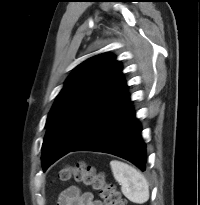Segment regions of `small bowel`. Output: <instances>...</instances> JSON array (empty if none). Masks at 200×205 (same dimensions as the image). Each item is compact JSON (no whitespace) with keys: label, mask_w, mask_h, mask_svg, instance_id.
<instances>
[{"label":"small bowel","mask_w":200,"mask_h":205,"mask_svg":"<svg viewBox=\"0 0 200 205\" xmlns=\"http://www.w3.org/2000/svg\"><path fill=\"white\" fill-rule=\"evenodd\" d=\"M57 205H102V203L95 200L91 193H81L77 187L72 186L62 192Z\"/></svg>","instance_id":"c3829d8e"}]
</instances>
